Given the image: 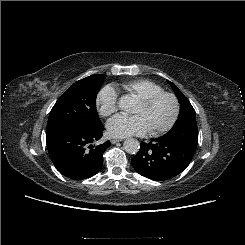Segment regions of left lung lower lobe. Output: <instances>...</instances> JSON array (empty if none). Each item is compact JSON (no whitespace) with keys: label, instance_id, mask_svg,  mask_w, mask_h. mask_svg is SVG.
<instances>
[{"label":"left lung lower lobe","instance_id":"obj_1","mask_svg":"<svg viewBox=\"0 0 245 245\" xmlns=\"http://www.w3.org/2000/svg\"><path fill=\"white\" fill-rule=\"evenodd\" d=\"M196 147L175 144L162 137L142 142L131 159L134 169L151 180L163 181L180 174L191 162Z\"/></svg>","mask_w":245,"mask_h":245}]
</instances>
